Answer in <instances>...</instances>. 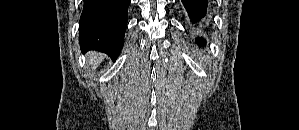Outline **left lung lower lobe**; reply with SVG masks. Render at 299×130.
I'll return each mask as SVG.
<instances>
[{"label": "left lung lower lobe", "mask_w": 299, "mask_h": 130, "mask_svg": "<svg viewBox=\"0 0 299 130\" xmlns=\"http://www.w3.org/2000/svg\"><path fill=\"white\" fill-rule=\"evenodd\" d=\"M182 2L192 21H198L206 15L207 0H182ZM204 43L205 40H203V38L198 40L199 45Z\"/></svg>", "instance_id": "0a47b994"}]
</instances>
